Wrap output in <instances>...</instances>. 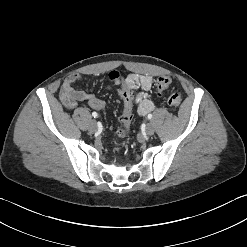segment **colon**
Returning <instances> with one entry per match:
<instances>
[{"mask_svg":"<svg viewBox=\"0 0 247 247\" xmlns=\"http://www.w3.org/2000/svg\"><path fill=\"white\" fill-rule=\"evenodd\" d=\"M109 81L114 88H117L118 99L123 109L121 116L123 128L119 130V136L125 138L130 134V124L133 117V94L130 92L131 86L116 71L109 74ZM169 85L170 79L168 77L162 76L157 79L156 86L159 91L168 88ZM167 102L170 107L176 109L182 102V96L179 93H172L169 95Z\"/></svg>","mask_w":247,"mask_h":247,"instance_id":"colon-1","label":"colon"}]
</instances>
